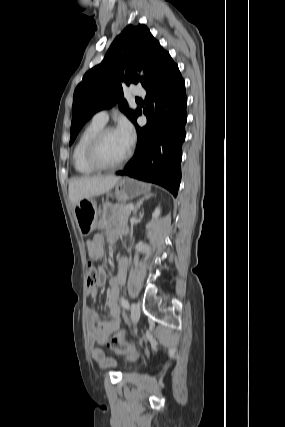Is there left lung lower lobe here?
<instances>
[{"label": "left lung lower lobe", "instance_id": "1", "mask_svg": "<svg viewBox=\"0 0 285 427\" xmlns=\"http://www.w3.org/2000/svg\"><path fill=\"white\" fill-rule=\"evenodd\" d=\"M147 91L144 127L134 124L138 132L137 151L126 168L117 175L156 183L178 193L180 162L187 120L185 82L169 54L162 60Z\"/></svg>", "mask_w": 285, "mask_h": 427}]
</instances>
